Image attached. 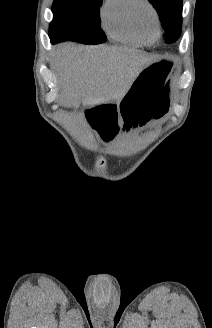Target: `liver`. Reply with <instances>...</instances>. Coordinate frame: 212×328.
Returning a JSON list of instances; mask_svg holds the SVG:
<instances>
[{
    "label": "liver",
    "mask_w": 212,
    "mask_h": 328,
    "mask_svg": "<svg viewBox=\"0 0 212 328\" xmlns=\"http://www.w3.org/2000/svg\"><path fill=\"white\" fill-rule=\"evenodd\" d=\"M146 53L128 47L63 45L53 68L61 76L60 103L64 106L121 101L140 70L149 63Z\"/></svg>",
    "instance_id": "6515ba94"
}]
</instances>
